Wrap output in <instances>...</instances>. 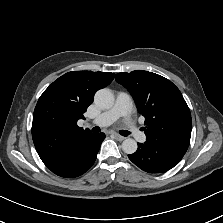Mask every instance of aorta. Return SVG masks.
<instances>
[{
	"instance_id": "obj_1",
	"label": "aorta",
	"mask_w": 223,
	"mask_h": 223,
	"mask_svg": "<svg viewBox=\"0 0 223 223\" xmlns=\"http://www.w3.org/2000/svg\"><path fill=\"white\" fill-rule=\"evenodd\" d=\"M94 103L101 109H110L114 105V95L108 88L100 89L94 96ZM122 150L126 154H133L137 150V142L128 138L122 142Z\"/></svg>"
}]
</instances>
